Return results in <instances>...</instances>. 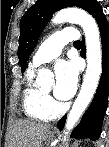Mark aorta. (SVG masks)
<instances>
[{"label":"aorta","instance_id":"aorta-1","mask_svg":"<svg viewBox=\"0 0 109 147\" xmlns=\"http://www.w3.org/2000/svg\"><path fill=\"white\" fill-rule=\"evenodd\" d=\"M72 22L79 24L85 34L87 69L80 92L68 114L65 124V134L74 128L97 89L102 72V49L100 32L95 19L85 10L79 8H65L59 11L52 19V23L60 24ZM53 78L47 69L38 71L37 83L42 84ZM66 140V136H64Z\"/></svg>","mask_w":109,"mask_h":147}]
</instances>
